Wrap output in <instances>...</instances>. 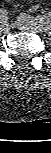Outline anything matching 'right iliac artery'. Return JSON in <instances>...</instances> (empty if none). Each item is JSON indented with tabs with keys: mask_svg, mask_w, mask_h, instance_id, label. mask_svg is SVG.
I'll return each mask as SVG.
<instances>
[{
	"mask_svg": "<svg viewBox=\"0 0 51 153\" xmlns=\"http://www.w3.org/2000/svg\"><path fill=\"white\" fill-rule=\"evenodd\" d=\"M8 12H7V10L6 9H1L0 10V20H1V23L2 22H7V20H8Z\"/></svg>",
	"mask_w": 51,
	"mask_h": 153,
	"instance_id": "obj_1",
	"label": "right iliac artery"
}]
</instances>
